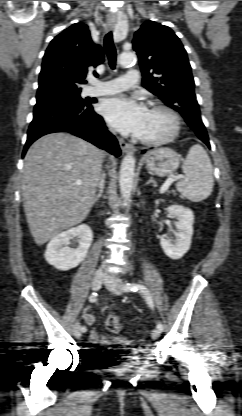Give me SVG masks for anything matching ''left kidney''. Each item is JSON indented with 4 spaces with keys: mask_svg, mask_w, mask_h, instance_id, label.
<instances>
[{
    "mask_svg": "<svg viewBox=\"0 0 242 416\" xmlns=\"http://www.w3.org/2000/svg\"><path fill=\"white\" fill-rule=\"evenodd\" d=\"M167 212L172 218H176V239L171 240L161 237L160 244L164 253L171 259L177 260L184 256L190 249L193 235L194 214L193 211L181 205H171Z\"/></svg>",
    "mask_w": 242,
    "mask_h": 416,
    "instance_id": "5707ae66",
    "label": "left kidney"
}]
</instances>
